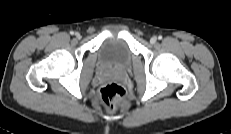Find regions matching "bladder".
I'll return each instance as SVG.
<instances>
[{
  "label": "bladder",
  "instance_id": "1",
  "mask_svg": "<svg viewBox=\"0 0 231 134\" xmlns=\"http://www.w3.org/2000/svg\"><path fill=\"white\" fill-rule=\"evenodd\" d=\"M132 56L127 42L117 37L107 39L99 49V61L106 68L126 69L131 64Z\"/></svg>",
  "mask_w": 231,
  "mask_h": 134
}]
</instances>
